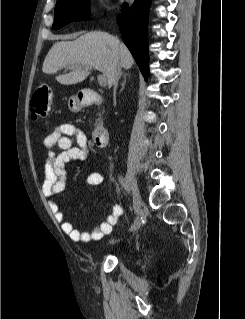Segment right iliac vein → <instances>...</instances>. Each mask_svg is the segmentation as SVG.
Returning <instances> with one entry per match:
<instances>
[{
    "label": "right iliac vein",
    "instance_id": "63e3f726",
    "mask_svg": "<svg viewBox=\"0 0 245 319\" xmlns=\"http://www.w3.org/2000/svg\"><path fill=\"white\" fill-rule=\"evenodd\" d=\"M127 188L131 190L132 198H133V206L135 213H139L141 211L142 199L136 185L134 179L129 178L128 183L126 184ZM136 224V222L134 223ZM140 227V224L136 225V230Z\"/></svg>",
    "mask_w": 245,
    "mask_h": 319
}]
</instances>
